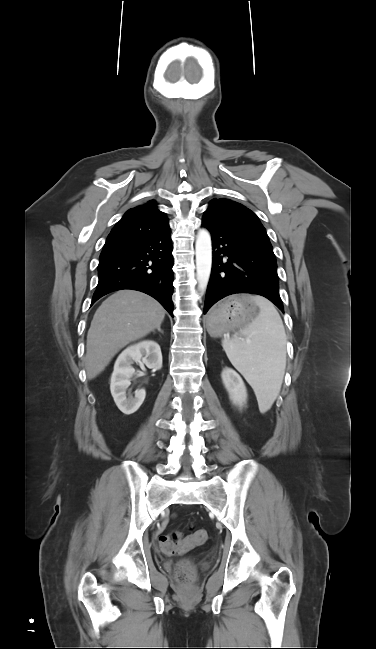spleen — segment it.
Returning a JSON list of instances; mask_svg holds the SVG:
<instances>
[{"mask_svg":"<svg viewBox=\"0 0 376 649\" xmlns=\"http://www.w3.org/2000/svg\"><path fill=\"white\" fill-rule=\"evenodd\" d=\"M259 306L258 316L222 346L232 365L252 386L261 413L276 400L286 368V333L274 305L261 296H252ZM239 335L245 336L243 340Z\"/></svg>","mask_w":376,"mask_h":649,"instance_id":"obj_1","label":"spleen"}]
</instances>
